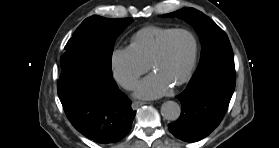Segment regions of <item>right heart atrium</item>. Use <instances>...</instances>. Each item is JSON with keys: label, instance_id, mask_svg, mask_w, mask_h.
<instances>
[{"label": "right heart atrium", "instance_id": "obj_1", "mask_svg": "<svg viewBox=\"0 0 279 148\" xmlns=\"http://www.w3.org/2000/svg\"><path fill=\"white\" fill-rule=\"evenodd\" d=\"M111 66L114 78L126 89L133 88L139 77L148 70V64L131 46L115 49L111 58Z\"/></svg>", "mask_w": 279, "mask_h": 148}]
</instances>
